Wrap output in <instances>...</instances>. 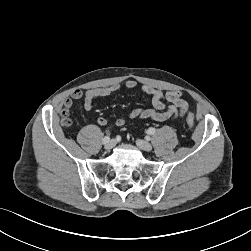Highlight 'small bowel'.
Masks as SVG:
<instances>
[{"mask_svg":"<svg viewBox=\"0 0 251 251\" xmlns=\"http://www.w3.org/2000/svg\"><path fill=\"white\" fill-rule=\"evenodd\" d=\"M124 87L129 90H136L138 85L135 80H128L125 82ZM121 89L122 86L120 84L89 89L86 92L77 89L71 93L70 98H67L64 101V108L65 110H69L72 106L73 99L76 100L83 97L84 109L86 111H92L96 100L118 93ZM141 91L151 96V108H137L132 110L128 113V117L131 119L138 118L149 119L157 122H166L182 117L188 109V103L183 99L181 91H170L164 93L163 91L150 85H143L141 87ZM96 120L101 126H105L108 123V120L101 115H99ZM124 124V119L120 118L116 120L117 126H123Z\"/></svg>","mask_w":251,"mask_h":251,"instance_id":"c3829d8e","label":"small bowel"}]
</instances>
